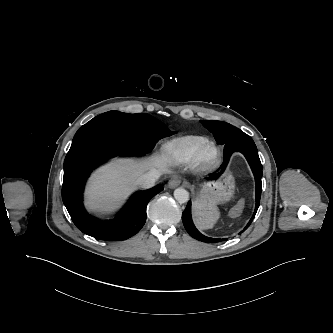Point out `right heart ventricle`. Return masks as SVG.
<instances>
[{
    "label": "right heart ventricle",
    "instance_id": "e07e8e85",
    "mask_svg": "<svg viewBox=\"0 0 333 333\" xmlns=\"http://www.w3.org/2000/svg\"><path fill=\"white\" fill-rule=\"evenodd\" d=\"M207 142L202 136H186L168 142L165 150L174 162H192Z\"/></svg>",
    "mask_w": 333,
    "mask_h": 333
}]
</instances>
